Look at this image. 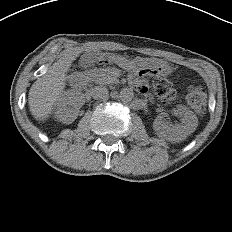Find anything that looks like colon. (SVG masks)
I'll return each mask as SVG.
<instances>
[{
  "mask_svg": "<svg viewBox=\"0 0 232 232\" xmlns=\"http://www.w3.org/2000/svg\"><path fill=\"white\" fill-rule=\"evenodd\" d=\"M154 89L161 98H172L174 89L172 82L162 73L154 77ZM187 99L191 107L198 113H203L206 107V94L201 86L190 87Z\"/></svg>",
  "mask_w": 232,
  "mask_h": 232,
  "instance_id": "5ec220e1",
  "label": "colon"
}]
</instances>
